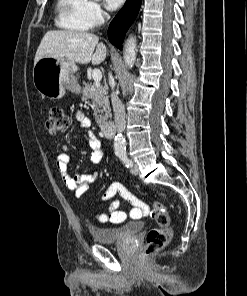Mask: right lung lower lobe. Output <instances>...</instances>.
Listing matches in <instances>:
<instances>
[{"label": "right lung lower lobe", "instance_id": "98d812e1", "mask_svg": "<svg viewBox=\"0 0 247 296\" xmlns=\"http://www.w3.org/2000/svg\"><path fill=\"white\" fill-rule=\"evenodd\" d=\"M142 0H127L124 7L119 11L108 28L110 42L120 50L122 42L130 25L136 18Z\"/></svg>", "mask_w": 247, "mask_h": 296}]
</instances>
